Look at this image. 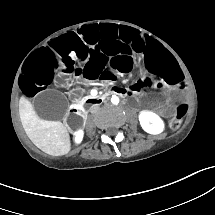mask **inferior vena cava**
Wrapping results in <instances>:
<instances>
[{"label":"inferior vena cava","mask_w":215,"mask_h":215,"mask_svg":"<svg viewBox=\"0 0 215 215\" xmlns=\"http://www.w3.org/2000/svg\"><path fill=\"white\" fill-rule=\"evenodd\" d=\"M100 106L99 105H92L91 108H90V112L91 113H96L98 112Z\"/></svg>","instance_id":"obj_1"}]
</instances>
